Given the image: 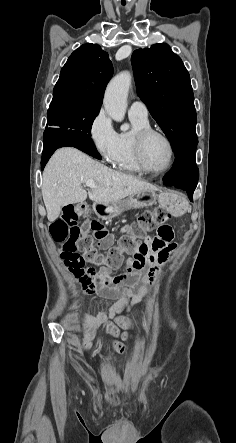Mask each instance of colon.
I'll return each instance as SVG.
<instances>
[{"instance_id":"obj_1","label":"colon","mask_w":236,"mask_h":443,"mask_svg":"<svg viewBox=\"0 0 236 443\" xmlns=\"http://www.w3.org/2000/svg\"><path fill=\"white\" fill-rule=\"evenodd\" d=\"M86 212L81 204L67 207L63 215L49 224L52 239L62 245L60 257L76 269H84L86 263L103 265L109 271L120 267L123 254L136 247L132 262L124 274L132 279L136 271L144 266V260L149 256V250L145 246L137 249V241L146 233L157 228V233L166 241L173 238V230L168 224L170 214L161 207L142 213L133 223L123 228V235L117 247L107 252H100L93 244V236L96 239L110 242L112 236L99 221H87L82 227L78 225V219ZM174 245L169 244V249ZM93 269V268H92ZM110 276H104L102 281H108Z\"/></svg>"}]
</instances>
